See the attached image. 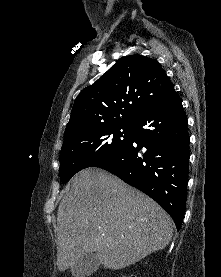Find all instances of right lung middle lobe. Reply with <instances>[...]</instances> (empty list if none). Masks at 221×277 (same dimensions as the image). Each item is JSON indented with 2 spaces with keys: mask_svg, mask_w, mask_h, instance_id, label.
<instances>
[{
  "mask_svg": "<svg viewBox=\"0 0 221 277\" xmlns=\"http://www.w3.org/2000/svg\"><path fill=\"white\" fill-rule=\"evenodd\" d=\"M132 134V124H111L84 130L65 140L61 149V181H69L78 171L92 167L125 148Z\"/></svg>",
  "mask_w": 221,
  "mask_h": 277,
  "instance_id": "right-lung-middle-lobe-1",
  "label": "right lung middle lobe"
}]
</instances>
